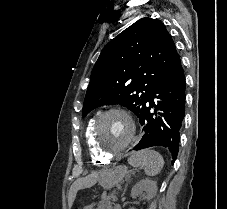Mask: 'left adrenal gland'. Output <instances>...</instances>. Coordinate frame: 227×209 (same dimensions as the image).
Masks as SVG:
<instances>
[{
	"instance_id": "obj_1",
	"label": "left adrenal gland",
	"mask_w": 227,
	"mask_h": 209,
	"mask_svg": "<svg viewBox=\"0 0 227 209\" xmlns=\"http://www.w3.org/2000/svg\"><path fill=\"white\" fill-rule=\"evenodd\" d=\"M131 175H134V171H128V173L126 175V185L124 187V191H123L122 195H125V193H126L127 183H128V181H130Z\"/></svg>"
}]
</instances>
